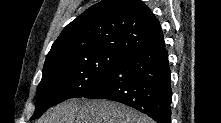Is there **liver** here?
<instances>
[{
	"mask_svg": "<svg viewBox=\"0 0 221 123\" xmlns=\"http://www.w3.org/2000/svg\"><path fill=\"white\" fill-rule=\"evenodd\" d=\"M37 123H153V121L123 104L75 98L51 108Z\"/></svg>",
	"mask_w": 221,
	"mask_h": 123,
	"instance_id": "liver-1",
	"label": "liver"
}]
</instances>
